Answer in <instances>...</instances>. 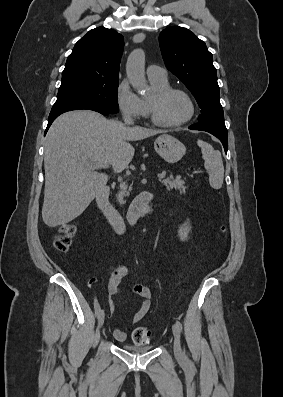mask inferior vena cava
<instances>
[{
	"mask_svg": "<svg viewBox=\"0 0 283 397\" xmlns=\"http://www.w3.org/2000/svg\"><path fill=\"white\" fill-rule=\"evenodd\" d=\"M123 121H124L125 125H133L134 124V121L129 114L123 115Z\"/></svg>",
	"mask_w": 283,
	"mask_h": 397,
	"instance_id": "602c4592",
	"label": "inferior vena cava"
}]
</instances>
